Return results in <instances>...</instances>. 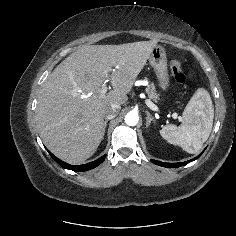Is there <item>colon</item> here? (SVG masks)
Segmentation results:
<instances>
[{"instance_id":"obj_1","label":"colon","mask_w":236,"mask_h":236,"mask_svg":"<svg viewBox=\"0 0 236 236\" xmlns=\"http://www.w3.org/2000/svg\"><path fill=\"white\" fill-rule=\"evenodd\" d=\"M172 76L177 83H184L186 81V73L182 68L180 61L173 59L169 64Z\"/></svg>"}]
</instances>
